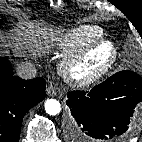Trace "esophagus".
<instances>
[{
  "label": "esophagus",
  "instance_id": "34e87169",
  "mask_svg": "<svg viewBox=\"0 0 142 142\" xmlns=\"http://www.w3.org/2000/svg\"><path fill=\"white\" fill-rule=\"evenodd\" d=\"M46 91L49 96H55L58 93V89L52 84L48 85Z\"/></svg>",
  "mask_w": 142,
  "mask_h": 142
}]
</instances>
